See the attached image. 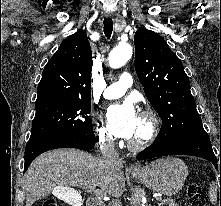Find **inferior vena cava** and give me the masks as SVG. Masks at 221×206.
Masks as SVG:
<instances>
[{"instance_id": "inferior-vena-cava-1", "label": "inferior vena cava", "mask_w": 221, "mask_h": 206, "mask_svg": "<svg viewBox=\"0 0 221 206\" xmlns=\"http://www.w3.org/2000/svg\"><path fill=\"white\" fill-rule=\"evenodd\" d=\"M100 150L103 157L112 161H120L119 155L114 147V140L111 138L100 139ZM109 206H122L118 200L112 201Z\"/></svg>"}]
</instances>
